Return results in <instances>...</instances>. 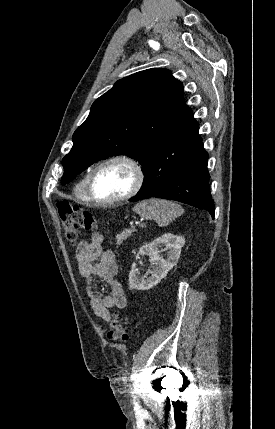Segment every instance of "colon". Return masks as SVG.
Listing matches in <instances>:
<instances>
[{
	"mask_svg": "<svg viewBox=\"0 0 275 429\" xmlns=\"http://www.w3.org/2000/svg\"><path fill=\"white\" fill-rule=\"evenodd\" d=\"M57 211L65 236L71 244L77 243L80 230L97 228L94 217L86 209L60 201L57 203ZM107 336L111 342H125L128 339V331L118 315L111 320Z\"/></svg>",
	"mask_w": 275,
	"mask_h": 429,
	"instance_id": "1",
	"label": "colon"
}]
</instances>
